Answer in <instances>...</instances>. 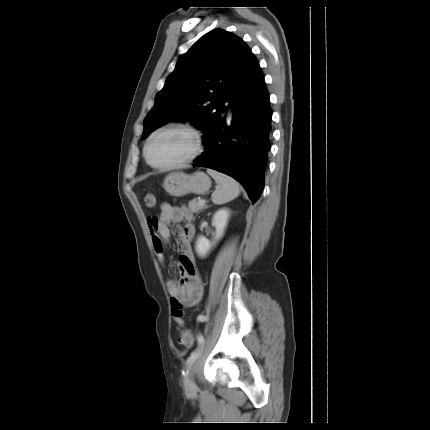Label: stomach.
Listing matches in <instances>:
<instances>
[{"label":"stomach","instance_id":"stomach-1","mask_svg":"<svg viewBox=\"0 0 430 430\" xmlns=\"http://www.w3.org/2000/svg\"><path fill=\"white\" fill-rule=\"evenodd\" d=\"M211 187L209 176L201 171L193 174L184 172L170 173L165 177L163 188L174 197H182L187 194H204Z\"/></svg>","mask_w":430,"mask_h":430}]
</instances>
